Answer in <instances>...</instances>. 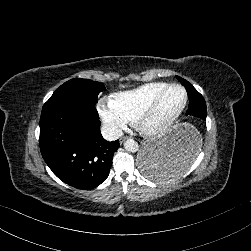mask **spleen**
Wrapping results in <instances>:
<instances>
[{
	"instance_id": "3e777b00",
	"label": "spleen",
	"mask_w": 251,
	"mask_h": 251,
	"mask_svg": "<svg viewBox=\"0 0 251 251\" xmlns=\"http://www.w3.org/2000/svg\"><path fill=\"white\" fill-rule=\"evenodd\" d=\"M202 144V140L200 142ZM201 146H195L193 151H189L184 155V158L181 159V165L178 168V173H175L174 170H171L169 167H152L147 177L153 178L154 180L161 182V181H167L169 179H175L181 176L183 173H185L193 160L194 153H197L200 150Z\"/></svg>"
}]
</instances>
